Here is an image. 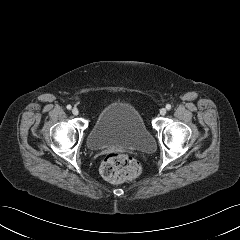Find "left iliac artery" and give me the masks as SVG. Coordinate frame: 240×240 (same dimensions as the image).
I'll return each mask as SVG.
<instances>
[{
    "instance_id": "obj_1",
    "label": "left iliac artery",
    "mask_w": 240,
    "mask_h": 240,
    "mask_svg": "<svg viewBox=\"0 0 240 240\" xmlns=\"http://www.w3.org/2000/svg\"><path fill=\"white\" fill-rule=\"evenodd\" d=\"M166 109H167V110H170V109H171V105H170V104H167V105H166Z\"/></svg>"
}]
</instances>
